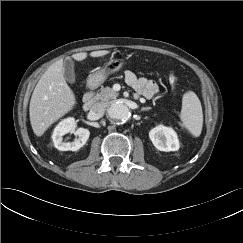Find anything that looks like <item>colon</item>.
Wrapping results in <instances>:
<instances>
[{"instance_id":"obj_1","label":"colon","mask_w":243,"mask_h":243,"mask_svg":"<svg viewBox=\"0 0 243 243\" xmlns=\"http://www.w3.org/2000/svg\"><path fill=\"white\" fill-rule=\"evenodd\" d=\"M176 82H177V78H176V76H174V75L170 76V83H171L172 85H175Z\"/></svg>"}]
</instances>
